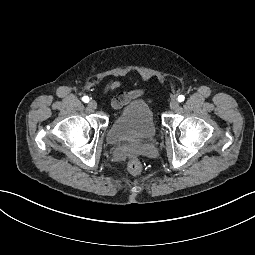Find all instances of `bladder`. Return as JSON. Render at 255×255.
I'll return each instance as SVG.
<instances>
[{
	"instance_id": "bladder-1",
	"label": "bladder",
	"mask_w": 255,
	"mask_h": 255,
	"mask_svg": "<svg viewBox=\"0 0 255 255\" xmlns=\"http://www.w3.org/2000/svg\"><path fill=\"white\" fill-rule=\"evenodd\" d=\"M157 132L154 114L142 99H134L113 118L107 133L111 144L141 142L152 139Z\"/></svg>"
}]
</instances>
